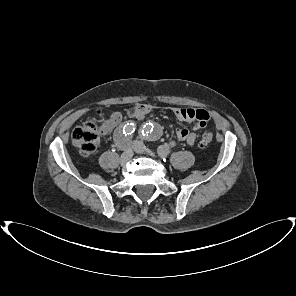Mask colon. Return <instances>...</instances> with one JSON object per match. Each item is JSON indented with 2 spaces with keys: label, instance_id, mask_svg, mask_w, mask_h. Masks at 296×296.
I'll return each mask as SVG.
<instances>
[{
  "label": "colon",
  "instance_id": "5ec220e1",
  "mask_svg": "<svg viewBox=\"0 0 296 296\" xmlns=\"http://www.w3.org/2000/svg\"><path fill=\"white\" fill-rule=\"evenodd\" d=\"M104 132V123L86 121L73 130L71 136L72 144L78 149L82 156H90L96 150L100 136ZM212 140L213 135L206 132L202 134L199 144L201 147H206Z\"/></svg>",
  "mask_w": 296,
  "mask_h": 296
}]
</instances>
